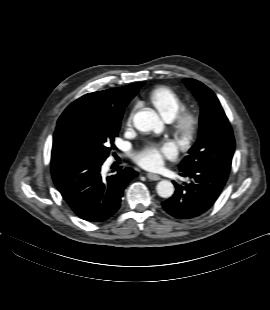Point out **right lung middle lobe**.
<instances>
[{"label": "right lung middle lobe", "mask_w": 270, "mask_h": 310, "mask_svg": "<svg viewBox=\"0 0 270 310\" xmlns=\"http://www.w3.org/2000/svg\"><path fill=\"white\" fill-rule=\"evenodd\" d=\"M120 120L112 118L92 101H75L57 123L54 148L63 158L104 162L118 136Z\"/></svg>", "instance_id": "right-lung-middle-lobe-1"}]
</instances>
